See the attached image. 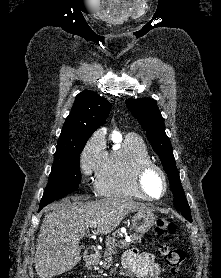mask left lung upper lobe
I'll return each instance as SVG.
<instances>
[{
	"label": "left lung upper lobe",
	"instance_id": "left-lung-upper-lobe-1",
	"mask_svg": "<svg viewBox=\"0 0 221 278\" xmlns=\"http://www.w3.org/2000/svg\"><path fill=\"white\" fill-rule=\"evenodd\" d=\"M126 105L146 131L152 148L159 155L162 165L168 175L175 208L181 211L184 217L191 216L190 208L181 186L179 172L176 168L172 146L165 133L164 120L157 107L156 101L151 98L128 99L126 100Z\"/></svg>",
	"mask_w": 221,
	"mask_h": 278
}]
</instances>
